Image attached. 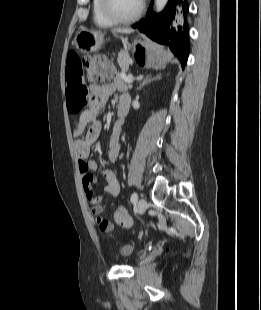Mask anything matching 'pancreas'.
<instances>
[{
  "label": "pancreas",
  "instance_id": "pancreas-1",
  "mask_svg": "<svg viewBox=\"0 0 261 310\" xmlns=\"http://www.w3.org/2000/svg\"><path fill=\"white\" fill-rule=\"evenodd\" d=\"M117 61H118V64L121 67L123 72L128 70V67H129V64L131 63V60H130L126 51H120L118 53ZM117 79H119L121 81V78L119 75L117 76ZM120 83H121V86H120L121 90H125V89L129 88V86L124 84L122 81Z\"/></svg>",
  "mask_w": 261,
  "mask_h": 310
}]
</instances>
